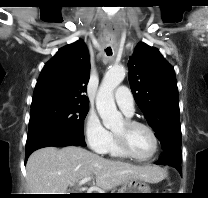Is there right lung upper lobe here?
<instances>
[{"mask_svg": "<svg viewBox=\"0 0 208 198\" xmlns=\"http://www.w3.org/2000/svg\"><path fill=\"white\" fill-rule=\"evenodd\" d=\"M89 73V54L83 41L61 48L42 69L31 107L53 102L88 104Z\"/></svg>", "mask_w": 208, "mask_h": 198, "instance_id": "cb5924a9", "label": "right lung upper lobe"}]
</instances>
